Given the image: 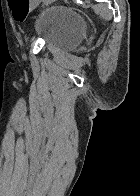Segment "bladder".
<instances>
[{
    "label": "bladder",
    "instance_id": "bladder-1",
    "mask_svg": "<svg viewBox=\"0 0 140 196\" xmlns=\"http://www.w3.org/2000/svg\"><path fill=\"white\" fill-rule=\"evenodd\" d=\"M84 35L83 16L65 5L44 10L36 24V36L45 45L62 51L76 50L82 44Z\"/></svg>",
    "mask_w": 140,
    "mask_h": 196
}]
</instances>
